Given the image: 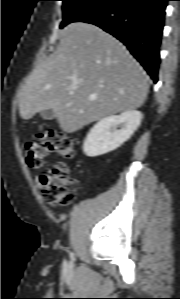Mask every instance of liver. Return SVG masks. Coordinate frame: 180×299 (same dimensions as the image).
Segmentation results:
<instances>
[{
  "instance_id": "liver-1",
  "label": "liver",
  "mask_w": 180,
  "mask_h": 299,
  "mask_svg": "<svg viewBox=\"0 0 180 299\" xmlns=\"http://www.w3.org/2000/svg\"><path fill=\"white\" fill-rule=\"evenodd\" d=\"M146 73L112 35L87 23H71L57 49L19 91L20 116L31 119L52 109L60 128L73 133L85 125L143 105Z\"/></svg>"
}]
</instances>
